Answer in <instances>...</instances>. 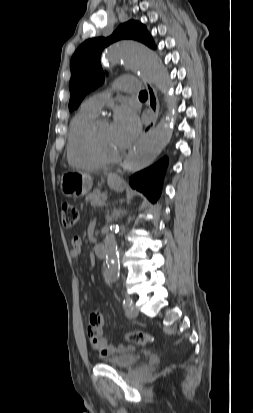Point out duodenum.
Returning <instances> with one entry per match:
<instances>
[{
	"mask_svg": "<svg viewBox=\"0 0 253 413\" xmlns=\"http://www.w3.org/2000/svg\"><path fill=\"white\" fill-rule=\"evenodd\" d=\"M94 252L97 257L104 258L105 257V246L102 243H97L94 246Z\"/></svg>",
	"mask_w": 253,
	"mask_h": 413,
	"instance_id": "410a0bca",
	"label": "duodenum"
}]
</instances>
